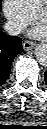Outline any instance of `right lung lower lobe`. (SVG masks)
Segmentation results:
<instances>
[{
    "label": "right lung lower lobe",
    "mask_w": 47,
    "mask_h": 129,
    "mask_svg": "<svg viewBox=\"0 0 47 129\" xmlns=\"http://www.w3.org/2000/svg\"><path fill=\"white\" fill-rule=\"evenodd\" d=\"M22 51L21 39L0 30V86L8 78L15 56Z\"/></svg>",
    "instance_id": "obj_1"
}]
</instances>
